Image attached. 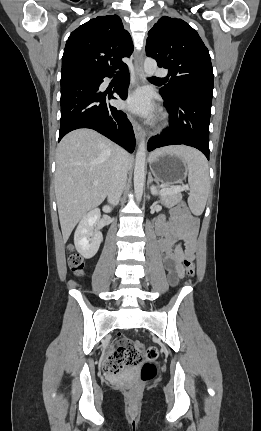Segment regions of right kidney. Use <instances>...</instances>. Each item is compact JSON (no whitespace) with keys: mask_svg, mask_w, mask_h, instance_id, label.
I'll return each mask as SVG.
<instances>
[{"mask_svg":"<svg viewBox=\"0 0 261 431\" xmlns=\"http://www.w3.org/2000/svg\"><path fill=\"white\" fill-rule=\"evenodd\" d=\"M103 211L110 212V208L105 206ZM100 217L101 213L98 208L91 210L81 219L75 231L76 250L86 259L92 258L97 253L103 240L102 233L95 228Z\"/></svg>","mask_w":261,"mask_h":431,"instance_id":"ca27d5eb","label":"right kidney"}]
</instances>
